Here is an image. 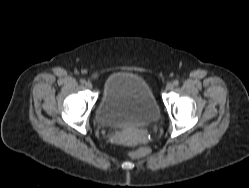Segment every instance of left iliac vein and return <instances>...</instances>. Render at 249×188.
I'll use <instances>...</instances> for the list:
<instances>
[{
  "instance_id": "1",
  "label": "left iliac vein",
  "mask_w": 249,
  "mask_h": 188,
  "mask_svg": "<svg viewBox=\"0 0 249 188\" xmlns=\"http://www.w3.org/2000/svg\"><path fill=\"white\" fill-rule=\"evenodd\" d=\"M173 88H174L173 83H168V84L166 85V90H167V91H170V90H172Z\"/></svg>"
}]
</instances>
